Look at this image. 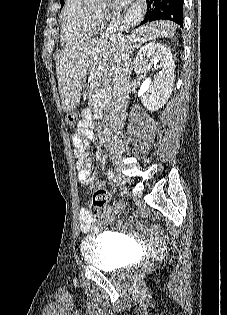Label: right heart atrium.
Here are the masks:
<instances>
[{"label":"right heart atrium","mask_w":227,"mask_h":315,"mask_svg":"<svg viewBox=\"0 0 227 315\" xmlns=\"http://www.w3.org/2000/svg\"><path fill=\"white\" fill-rule=\"evenodd\" d=\"M113 13L110 11H100L97 13V18L104 25L107 21H109L113 17Z\"/></svg>","instance_id":"obj_1"}]
</instances>
